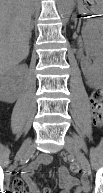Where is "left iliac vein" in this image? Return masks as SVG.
<instances>
[{
  "mask_svg": "<svg viewBox=\"0 0 103 193\" xmlns=\"http://www.w3.org/2000/svg\"><path fill=\"white\" fill-rule=\"evenodd\" d=\"M65 149L70 152L71 154L75 155V157L79 160L81 163L83 169L90 174V164L85 157V155L79 150L76 141L71 136L65 137Z\"/></svg>",
  "mask_w": 103,
  "mask_h": 193,
  "instance_id": "obj_1",
  "label": "left iliac vein"
}]
</instances>
